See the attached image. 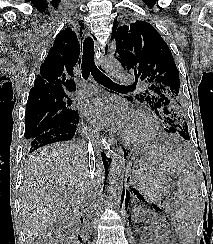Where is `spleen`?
Returning a JSON list of instances; mask_svg holds the SVG:
<instances>
[{
  "label": "spleen",
  "instance_id": "3e777b00",
  "mask_svg": "<svg viewBox=\"0 0 213 244\" xmlns=\"http://www.w3.org/2000/svg\"><path fill=\"white\" fill-rule=\"evenodd\" d=\"M160 166L168 175L177 177L178 189L174 195V219L182 244H194L197 227L202 220V202L199 181L191 165L177 154L158 150Z\"/></svg>",
  "mask_w": 213,
  "mask_h": 244
}]
</instances>
